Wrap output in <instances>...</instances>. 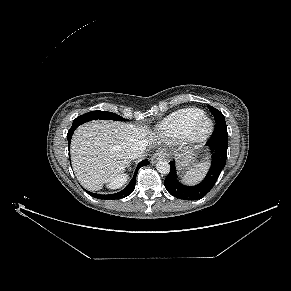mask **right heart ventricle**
<instances>
[{"label":"right heart ventricle","mask_w":291,"mask_h":291,"mask_svg":"<svg viewBox=\"0 0 291 291\" xmlns=\"http://www.w3.org/2000/svg\"><path fill=\"white\" fill-rule=\"evenodd\" d=\"M204 116V111L197 108L178 110L170 114L158 125L157 133L165 140L184 138Z\"/></svg>","instance_id":"1"}]
</instances>
